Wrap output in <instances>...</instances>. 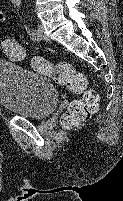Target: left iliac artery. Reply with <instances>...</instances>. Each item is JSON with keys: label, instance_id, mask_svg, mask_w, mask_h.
I'll list each match as a JSON object with an SVG mask.
<instances>
[{"label": "left iliac artery", "instance_id": "1", "mask_svg": "<svg viewBox=\"0 0 123 201\" xmlns=\"http://www.w3.org/2000/svg\"><path fill=\"white\" fill-rule=\"evenodd\" d=\"M14 4H15V6L16 7H20V2H19V0H14ZM31 35H32V37L33 38H37V35H38V33H37V30L36 29H33L32 31H31Z\"/></svg>", "mask_w": 123, "mask_h": 201}]
</instances>
